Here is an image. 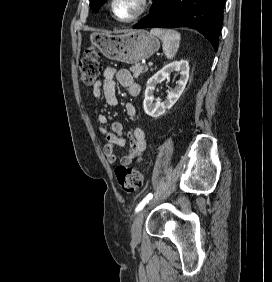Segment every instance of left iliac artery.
I'll return each mask as SVG.
<instances>
[{
	"label": "left iliac artery",
	"instance_id": "44dca946",
	"mask_svg": "<svg viewBox=\"0 0 272 282\" xmlns=\"http://www.w3.org/2000/svg\"><path fill=\"white\" fill-rule=\"evenodd\" d=\"M152 199V194H148L136 207L135 212H139Z\"/></svg>",
	"mask_w": 272,
	"mask_h": 282
}]
</instances>
